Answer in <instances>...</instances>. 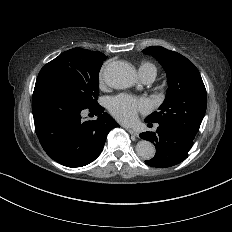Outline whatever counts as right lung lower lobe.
Listing matches in <instances>:
<instances>
[{"label": "right lung lower lobe", "mask_w": 232, "mask_h": 232, "mask_svg": "<svg viewBox=\"0 0 232 232\" xmlns=\"http://www.w3.org/2000/svg\"><path fill=\"white\" fill-rule=\"evenodd\" d=\"M32 111L43 149L53 160L67 167H82L95 160L110 130L119 127L102 106H84L50 80H36ZM84 112L98 118L84 121L81 116Z\"/></svg>", "instance_id": "right-lung-lower-lobe-1"}]
</instances>
